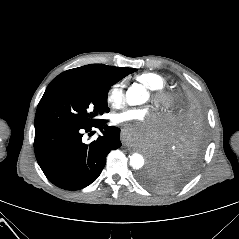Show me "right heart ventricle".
Here are the masks:
<instances>
[{"instance_id":"right-heart-ventricle-1","label":"right heart ventricle","mask_w":239,"mask_h":239,"mask_svg":"<svg viewBox=\"0 0 239 239\" xmlns=\"http://www.w3.org/2000/svg\"><path fill=\"white\" fill-rule=\"evenodd\" d=\"M135 80L150 90H162L166 86V79L155 72H143L138 74Z\"/></svg>"}]
</instances>
